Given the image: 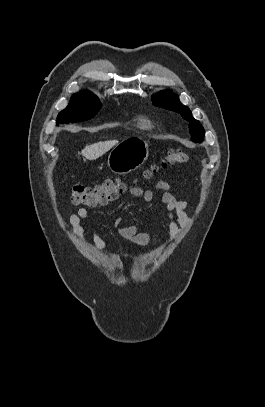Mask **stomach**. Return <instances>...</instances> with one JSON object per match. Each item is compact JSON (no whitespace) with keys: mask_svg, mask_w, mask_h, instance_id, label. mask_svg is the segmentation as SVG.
Returning <instances> with one entry per match:
<instances>
[{"mask_svg":"<svg viewBox=\"0 0 265 407\" xmlns=\"http://www.w3.org/2000/svg\"><path fill=\"white\" fill-rule=\"evenodd\" d=\"M148 144L142 139H129L117 144L108 156V167L124 175L137 169L148 158Z\"/></svg>","mask_w":265,"mask_h":407,"instance_id":"stomach-1","label":"stomach"}]
</instances>
